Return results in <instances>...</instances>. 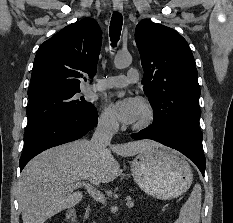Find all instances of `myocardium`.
I'll return each mask as SVG.
<instances>
[{"label": "myocardium", "mask_w": 233, "mask_h": 223, "mask_svg": "<svg viewBox=\"0 0 233 223\" xmlns=\"http://www.w3.org/2000/svg\"><path fill=\"white\" fill-rule=\"evenodd\" d=\"M143 110L145 113V121L135 123L132 127L134 130L144 132L155 125L157 114L154 107L146 100L142 99Z\"/></svg>", "instance_id": "1"}]
</instances>
